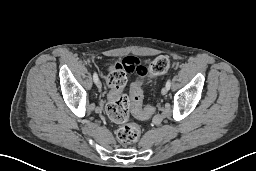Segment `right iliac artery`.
Returning <instances> with one entry per match:
<instances>
[{
	"label": "right iliac artery",
	"mask_w": 256,
	"mask_h": 171,
	"mask_svg": "<svg viewBox=\"0 0 256 171\" xmlns=\"http://www.w3.org/2000/svg\"><path fill=\"white\" fill-rule=\"evenodd\" d=\"M93 80L95 83H97V81H98V75L96 72H94V74H93Z\"/></svg>",
	"instance_id": "82829eb1"
}]
</instances>
